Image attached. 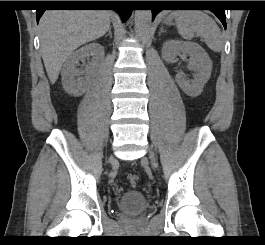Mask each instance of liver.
Listing matches in <instances>:
<instances>
[{
  "mask_svg": "<svg viewBox=\"0 0 265 245\" xmlns=\"http://www.w3.org/2000/svg\"><path fill=\"white\" fill-rule=\"evenodd\" d=\"M112 13L105 10H49L39 22L41 54L50 82L79 46L102 37Z\"/></svg>",
  "mask_w": 265,
  "mask_h": 245,
  "instance_id": "6515ba94",
  "label": "liver"
}]
</instances>
